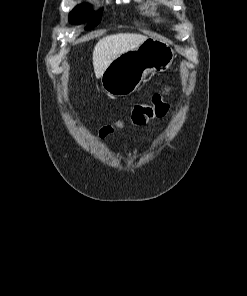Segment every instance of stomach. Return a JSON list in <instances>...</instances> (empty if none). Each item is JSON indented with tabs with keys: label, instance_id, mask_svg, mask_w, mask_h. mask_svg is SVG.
I'll list each match as a JSON object with an SVG mask.
<instances>
[{
	"label": "stomach",
	"instance_id": "0dacf381",
	"mask_svg": "<svg viewBox=\"0 0 247 296\" xmlns=\"http://www.w3.org/2000/svg\"><path fill=\"white\" fill-rule=\"evenodd\" d=\"M174 50L166 42L147 38L137 48L114 59L101 77L102 88L122 97L136 91L149 73L164 72L171 66Z\"/></svg>",
	"mask_w": 247,
	"mask_h": 296
}]
</instances>
